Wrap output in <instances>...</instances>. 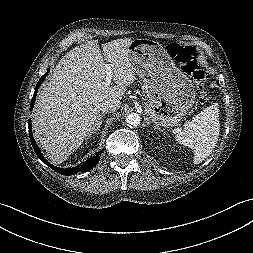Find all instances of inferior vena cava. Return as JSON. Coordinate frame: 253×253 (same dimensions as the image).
I'll list each match as a JSON object with an SVG mask.
<instances>
[{
	"mask_svg": "<svg viewBox=\"0 0 253 253\" xmlns=\"http://www.w3.org/2000/svg\"><path fill=\"white\" fill-rule=\"evenodd\" d=\"M121 102L118 99H110L103 101L100 106V111L103 114L115 112L120 108Z\"/></svg>",
	"mask_w": 253,
	"mask_h": 253,
	"instance_id": "obj_1",
	"label": "inferior vena cava"
}]
</instances>
